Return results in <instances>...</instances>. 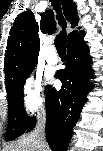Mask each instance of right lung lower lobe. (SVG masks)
Segmentation results:
<instances>
[{"instance_id":"1","label":"right lung lower lobe","mask_w":103,"mask_h":151,"mask_svg":"<svg viewBox=\"0 0 103 151\" xmlns=\"http://www.w3.org/2000/svg\"><path fill=\"white\" fill-rule=\"evenodd\" d=\"M84 31L78 33L67 44L66 68L56 73L62 82L59 91L47 88L46 93V137L53 151H66L73 125L77 122L93 78L89 48L83 40ZM36 123L33 120L26 132Z\"/></svg>"}]
</instances>
